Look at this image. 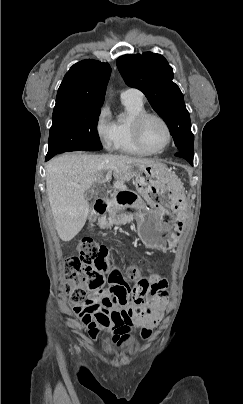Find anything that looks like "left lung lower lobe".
<instances>
[{"label":"left lung lower lobe","mask_w":243,"mask_h":404,"mask_svg":"<svg viewBox=\"0 0 243 404\" xmlns=\"http://www.w3.org/2000/svg\"><path fill=\"white\" fill-rule=\"evenodd\" d=\"M177 157H181L186 159L191 165H193V156L194 153H188V152H182V151H177L174 154Z\"/></svg>","instance_id":"1"}]
</instances>
